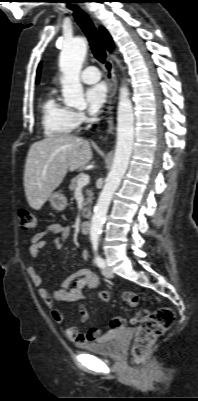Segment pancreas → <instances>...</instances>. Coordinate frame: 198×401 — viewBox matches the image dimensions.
<instances>
[{"label":"pancreas","mask_w":198,"mask_h":401,"mask_svg":"<svg viewBox=\"0 0 198 401\" xmlns=\"http://www.w3.org/2000/svg\"><path fill=\"white\" fill-rule=\"evenodd\" d=\"M84 174L81 173L79 175H77L76 177L71 179L70 185H69V189L71 192H75L76 189L78 188V181L80 179L81 176H83ZM85 193L87 195L86 200L83 202V206L86 207L87 205L92 203V196L93 193L91 190H85ZM90 210L88 208H84L83 209V217L85 218H89L90 217Z\"/></svg>","instance_id":"cf45deb5"}]
</instances>
